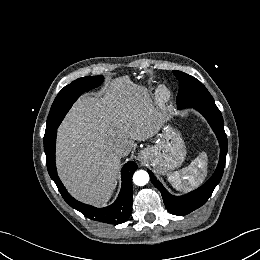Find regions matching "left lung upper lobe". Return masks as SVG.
<instances>
[{
  "label": "left lung upper lobe",
  "instance_id": "left-lung-upper-lobe-1",
  "mask_svg": "<svg viewBox=\"0 0 260 260\" xmlns=\"http://www.w3.org/2000/svg\"><path fill=\"white\" fill-rule=\"evenodd\" d=\"M179 80V93L177 105L185 108L194 103L215 104L214 99L205 86L196 78L180 71H174Z\"/></svg>",
  "mask_w": 260,
  "mask_h": 260
}]
</instances>
